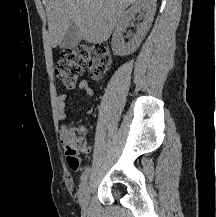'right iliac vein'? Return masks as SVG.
<instances>
[{
    "mask_svg": "<svg viewBox=\"0 0 216 217\" xmlns=\"http://www.w3.org/2000/svg\"><path fill=\"white\" fill-rule=\"evenodd\" d=\"M88 201H89V184L86 181L85 184L81 187L80 193H79V204L82 210L84 211L87 210Z\"/></svg>",
    "mask_w": 216,
    "mask_h": 217,
    "instance_id": "obj_1",
    "label": "right iliac vein"
}]
</instances>
